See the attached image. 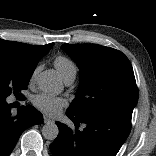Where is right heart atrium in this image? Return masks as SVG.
<instances>
[{
    "label": "right heart atrium",
    "instance_id": "1",
    "mask_svg": "<svg viewBox=\"0 0 156 156\" xmlns=\"http://www.w3.org/2000/svg\"><path fill=\"white\" fill-rule=\"evenodd\" d=\"M39 68H40V67H37V68L33 71L32 75H31V77H30V82H31V83L34 82L35 76H36V74H37Z\"/></svg>",
    "mask_w": 156,
    "mask_h": 156
}]
</instances>
